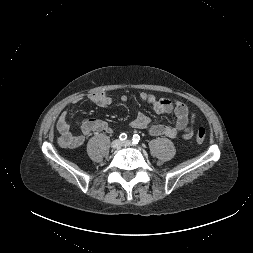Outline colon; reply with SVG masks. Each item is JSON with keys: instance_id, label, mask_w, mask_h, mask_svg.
Listing matches in <instances>:
<instances>
[{"instance_id": "obj_1", "label": "colon", "mask_w": 253, "mask_h": 253, "mask_svg": "<svg viewBox=\"0 0 253 253\" xmlns=\"http://www.w3.org/2000/svg\"><path fill=\"white\" fill-rule=\"evenodd\" d=\"M206 138V131L203 127L199 128L196 133V141L198 143L204 142ZM61 144L64 145V143L61 141Z\"/></svg>"}]
</instances>
